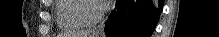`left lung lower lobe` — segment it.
Returning a JSON list of instances; mask_svg holds the SVG:
<instances>
[{
  "label": "left lung lower lobe",
  "mask_w": 219,
  "mask_h": 37,
  "mask_svg": "<svg viewBox=\"0 0 219 37\" xmlns=\"http://www.w3.org/2000/svg\"><path fill=\"white\" fill-rule=\"evenodd\" d=\"M163 0H117L105 23L107 37H150L159 20Z\"/></svg>",
  "instance_id": "1"
}]
</instances>
